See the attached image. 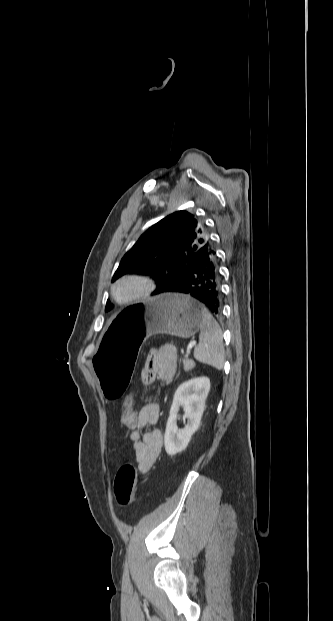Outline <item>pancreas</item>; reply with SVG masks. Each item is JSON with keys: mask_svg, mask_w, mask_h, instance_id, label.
<instances>
[{"mask_svg": "<svg viewBox=\"0 0 333 621\" xmlns=\"http://www.w3.org/2000/svg\"><path fill=\"white\" fill-rule=\"evenodd\" d=\"M183 365L185 371H190L195 367V362L192 359H189L188 356H186L183 359Z\"/></svg>", "mask_w": 333, "mask_h": 621, "instance_id": "obj_1", "label": "pancreas"}]
</instances>
